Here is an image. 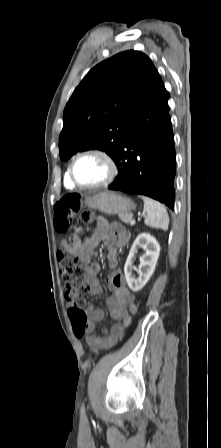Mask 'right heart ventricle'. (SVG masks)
Returning a JSON list of instances; mask_svg holds the SVG:
<instances>
[{
	"instance_id": "1",
	"label": "right heart ventricle",
	"mask_w": 221,
	"mask_h": 448,
	"mask_svg": "<svg viewBox=\"0 0 221 448\" xmlns=\"http://www.w3.org/2000/svg\"><path fill=\"white\" fill-rule=\"evenodd\" d=\"M69 166H68V168L66 169V172H65V175H64V185H65V187L67 188V189H73V188H75L76 186L74 185V184H72V182L70 181V179H69Z\"/></svg>"
}]
</instances>
